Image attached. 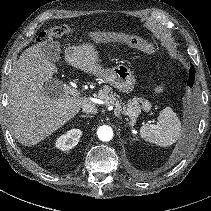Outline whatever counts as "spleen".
<instances>
[{
    "mask_svg": "<svg viewBox=\"0 0 211 211\" xmlns=\"http://www.w3.org/2000/svg\"><path fill=\"white\" fill-rule=\"evenodd\" d=\"M141 138L159 146L174 144L181 135V123L171 107L163 109L156 124H145L140 128Z\"/></svg>",
    "mask_w": 211,
    "mask_h": 211,
    "instance_id": "3e777b00",
    "label": "spleen"
}]
</instances>
